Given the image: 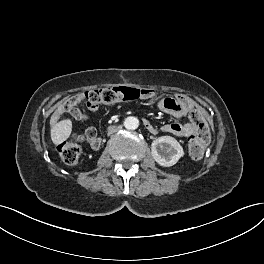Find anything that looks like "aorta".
Here are the masks:
<instances>
[{
    "label": "aorta",
    "mask_w": 264,
    "mask_h": 264,
    "mask_svg": "<svg viewBox=\"0 0 264 264\" xmlns=\"http://www.w3.org/2000/svg\"><path fill=\"white\" fill-rule=\"evenodd\" d=\"M139 126V120L136 117L129 116L124 120V127L128 130H135Z\"/></svg>",
    "instance_id": "1"
}]
</instances>
